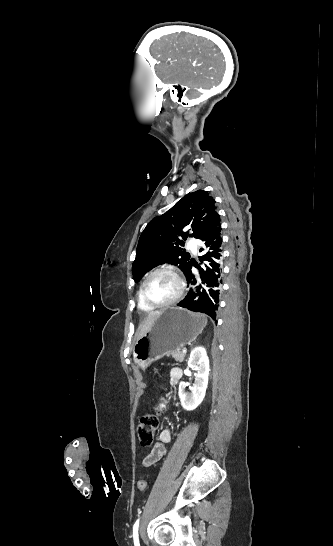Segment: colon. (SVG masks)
I'll list each match as a JSON object with an SVG mask.
<instances>
[{
    "label": "colon",
    "instance_id": "5ec220e1",
    "mask_svg": "<svg viewBox=\"0 0 333 546\" xmlns=\"http://www.w3.org/2000/svg\"><path fill=\"white\" fill-rule=\"evenodd\" d=\"M159 427V418L155 413L145 414L141 417L138 425V439L142 447H149L154 441V436ZM137 487L140 491H145L147 488V482L145 480H139Z\"/></svg>",
    "mask_w": 333,
    "mask_h": 546
}]
</instances>
